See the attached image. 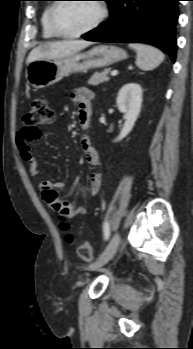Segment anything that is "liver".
<instances>
[{"mask_svg":"<svg viewBox=\"0 0 193 349\" xmlns=\"http://www.w3.org/2000/svg\"><path fill=\"white\" fill-rule=\"evenodd\" d=\"M91 44L85 40L48 42L35 47L27 58V64L41 59H60L74 55Z\"/></svg>","mask_w":193,"mask_h":349,"instance_id":"liver-1","label":"liver"}]
</instances>
